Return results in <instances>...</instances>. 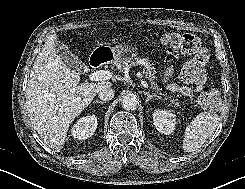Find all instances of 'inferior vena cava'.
I'll return each instance as SVG.
<instances>
[{"label":"inferior vena cava","mask_w":245,"mask_h":189,"mask_svg":"<svg viewBox=\"0 0 245 189\" xmlns=\"http://www.w3.org/2000/svg\"><path fill=\"white\" fill-rule=\"evenodd\" d=\"M98 96L103 101H109L115 96V91L110 87H105L98 92Z\"/></svg>","instance_id":"obj_1"}]
</instances>
